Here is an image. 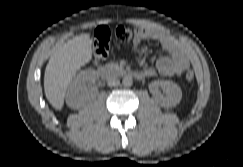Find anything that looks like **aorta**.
I'll list each match as a JSON object with an SVG mask.
<instances>
[{
    "label": "aorta",
    "mask_w": 243,
    "mask_h": 167,
    "mask_svg": "<svg viewBox=\"0 0 243 167\" xmlns=\"http://www.w3.org/2000/svg\"><path fill=\"white\" fill-rule=\"evenodd\" d=\"M122 84H123V86H125V87H130V86H132V84H133V79H132V77L131 76H124L123 77V79H122Z\"/></svg>",
    "instance_id": "762f6f07"
}]
</instances>
